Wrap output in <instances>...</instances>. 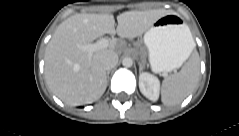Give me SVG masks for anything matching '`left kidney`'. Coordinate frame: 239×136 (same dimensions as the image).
Segmentation results:
<instances>
[{
	"label": "left kidney",
	"mask_w": 239,
	"mask_h": 136,
	"mask_svg": "<svg viewBox=\"0 0 239 136\" xmlns=\"http://www.w3.org/2000/svg\"><path fill=\"white\" fill-rule=\"evenodd\" d=\"M139 89L141 93L151 101H157L159 98L160 81L148 72L140 73Z\"/></svg>",
	"instance_id": "1"
}]
</instances>
